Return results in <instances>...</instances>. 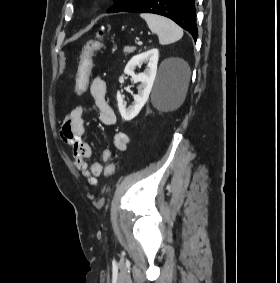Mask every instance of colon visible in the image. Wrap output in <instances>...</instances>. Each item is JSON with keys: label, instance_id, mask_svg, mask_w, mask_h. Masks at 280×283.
<instances>
[{"label": "colon", "instance_id": "colon-1", "mask_svg": "<svg viewBox=\"0 0 280 283\" xmlns=\"http://www.w3.org/2000/svg\"><path fill=\"white\" fill-rule=\"evenodd\" d=\"M105 33V29L101 28L98 31L97 37L89 41L81 52L80 58V70L77 73V79L74 84L73 95H86L89 92L88 83L90 81V75H92V70H88L92 63V58L94 54L102 47V38ZM114 164L109 163L107 165V176L110 177L114 173Z\"/></svg>", "mask_w": 280, "mask_h": 283}]
</instances>
